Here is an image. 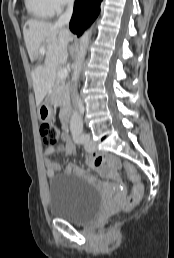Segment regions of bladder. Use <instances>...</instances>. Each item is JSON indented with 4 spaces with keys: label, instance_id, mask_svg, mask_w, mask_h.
Masks as SVG:
<instances>
[{
    "label": "bladder",
    "instance_id": "31cf9c89",
    "mask_svg": "<svg viewBox=\"0 0 174 258\" xmlns=\"http://www.w3.org/2000/svg\"><path fill=\"white\" fill-rule=\"evenodd\" d=\"M49 184L48 210L51 215L82 224L100 213L102 197L83 175L64 172Z\"/></svg>",
    "mask_w": 174,
    "mask_h": 258
}]
</instances>
